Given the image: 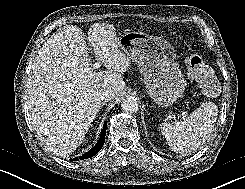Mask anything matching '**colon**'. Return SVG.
<instances>
[{
  "label": "colon",
  "mask_w": 245,
  "mask_h": 189,
  "mask_svg": "<svg viewBox=\"0 0 245 189\" xmlns=\"http://www.w3.org/2000/svg\"><path fill=\"white\" fill-rule=\"evenodd\" d=\"M190 77L195 80L208 94H216L220 90V83L209 62L200 56H189L186 59Z\"/></svg>",
  "instance_id": "obj_1"
}]
</instances>
